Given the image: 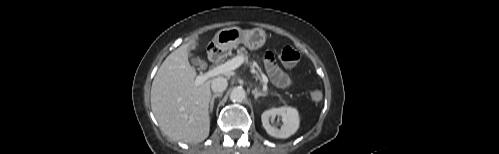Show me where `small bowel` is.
Returning a JSON list of instances; mask_svg holds the SVG:
<instances>
[{"label":"small bowel","mask_w":499,"mask_h":154,"mask_svg":"<svg viewBox=\"0 0 499 154\" xmlns=\"http://www.w3.org/2000/svg\"><path fill=\"white\" fill-rule=\"evenodd\" d=\"M265 66L272 82L276 86L284 88L290 85V77L278 67L271 52L266 54Z\"/></svg>","instance_id":"obj_1"}]
</instances>
